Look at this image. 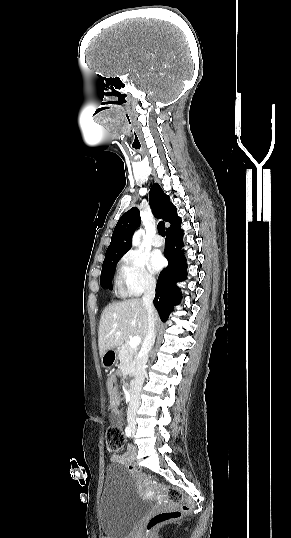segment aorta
<instances>
[{
    "label": "aorta",
    "instance_id": "1",
    "mask_svg": "<svg viewBox=\"0 0 291 538\" xmlns=\"http://www.w3.org/2000/svg\"><path fill=\"white\" fill-rule=\"evenodd\" d=\"M140 243V232H136L133 236V245L137 246Z\"/></svg>",
    "mask_w": 291,
    "mask_h": 538
}]
</instances>
